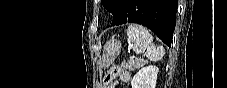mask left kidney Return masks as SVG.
I'll return each mask as SVG.
<instances>
[{
  "label": "left kidney",
  "instance_id": "obj_1",
  "mask_svg": "<svg viewBox=\"0 0 227 88\" xmlns=\"http://www.w3.org/2000/svg\"><path fill=\"white\" fill-rule=\"evenodd\" d=\"M158 68L150 65L141 68L131 81L132 88H155Z\"/></svg>",
  "mask_w": 227,
  "mask_h": 88
}]
</instances>
